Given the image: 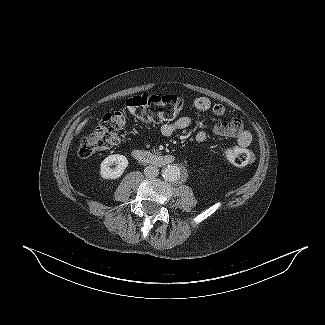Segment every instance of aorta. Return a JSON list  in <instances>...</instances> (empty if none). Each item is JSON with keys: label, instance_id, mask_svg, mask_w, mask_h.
Segmentation results:
<instances>
[{"label": "aorta", "instance_id": "aorta-1", "mask_svg": "<svg viewBox=\"0 0 325 325\" xmlns=\"http://www.w3.org/2000/svg\"><path fill=\"white\" fill-rule=\"evenodd\" d=\"M181 168L177 165H168L162 169V176L170 182H177L181 179Z\"/></svg>", "mask_w": 325, "mask_h": 325}]
</instances>
